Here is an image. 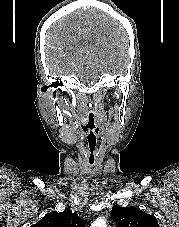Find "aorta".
Instances as JSON below:
<instances>
[{"instance_id":"aorta-1","label":"aorta","mask_w":179,"mask_h":227,"mask_svg":"<svg viewBox=\"0 0 179 227\" xmlns=\"http://www.w3.org/2000/svg\"><path fill=\"white\" fill-rule=\"evenodd\" d=\"M91 227H107L106 220L102 217L97 218L92 224Z\"/></svg>"}]
</instances>
